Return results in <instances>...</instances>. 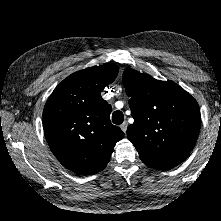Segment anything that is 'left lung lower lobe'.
I'll return each mask as SVG.
<instances>
[{
    "label": "left lung lower lobe",
    "instance_id": "0a47b994",
    "mask_svg": "<svg viewBox=\"0 0 221 221\" xmlns=\"http://www.w3.org/2000/svg\"><path fill=\"white\" fill-rule=\"evenodd\" d=\"M156 169L166 170V169H163V168H156Z\"/></svg>",
    "mask_w": 221,
    "mask_h": 221
}]
</instances>
